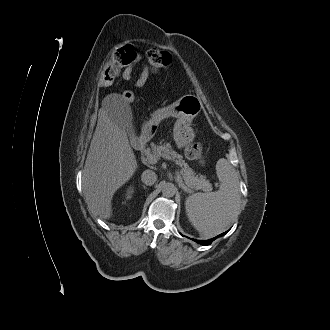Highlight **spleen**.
I'll return each mask as SVG.
<instances>
[{"instance_id":"spleen-1","label":"spleen","mask_w":330,"mask_h":330,"mask_svg":"<svg viewBox=\"0 0 330 330\" xmlns=\"http://www.w3.org/2000/svg\"><path fill=\"white\" fill-rule=\"evenodd\" d=\"M220 187L216 192L195 193L185 202L186 214L204 238L223 232L234 220L240 207L239 179L228 160L216 163Z\"/></svg>"}]
</instances>
